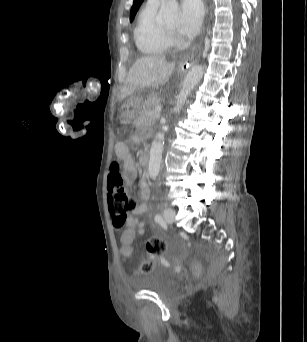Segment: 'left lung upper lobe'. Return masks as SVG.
<instances>
[{
    "label": "left lung upper lobe",
    "mask_w": 307,
    "mask_h": 342,
    "mask_svg": "<svg viewBox=\"0 0 307 342\" xmlns=\"http://www.w3.org/2000/svg\"><path fill=\"white\" fill-rule=\"evenodd\" d=\"M144 0H134V3H133V6L131 8V11H130V21H133L141 3L143 2Z\"/></svg>",
    "instance_id": "left-lung-upper-lobe-1"
}]
</instances>
